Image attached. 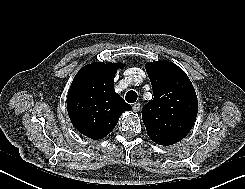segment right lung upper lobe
<instances>
[{"label": "right lung upper lobe", "instance_id": "cb5924a9", "mask_svg": "<svg viewBox=\"0 0 245 189\" xmlns=\"http://www.w3.org/2000/svg\"><path fill=\"white\" fill-rule=\"evenodd\" d=\"M120 63L93 62L74 77L67 96V109L74 127L92 139H102L132 107L114 91Z\"/></svg>", "mask_w": 245, "mask_h": 189}]
</instances>
